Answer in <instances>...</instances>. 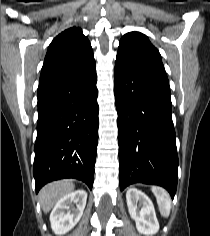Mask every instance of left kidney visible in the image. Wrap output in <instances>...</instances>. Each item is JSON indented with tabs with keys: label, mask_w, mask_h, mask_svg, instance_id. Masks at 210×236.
I'll use <instances>...</instances> for the list:
<instances>
[{
	"label": "left kidney",
	"mask_w": 210,
	"mask_h": 236,
	"mask_svg": "<svg viewBox=\"0 0 210 236\" xmlns=\"http://www.w3.org/2000/svg\"><path fill=\"white\" fill-rule=\"evenodd\" d=\"M128 211L139 233L151 236L158 232L159 223L152 201L142 191L130 188L126 192ZM141 207L138 209V207Z\"/></svg>",
	"instance_id": "5707ae66"
}]
</instances>
